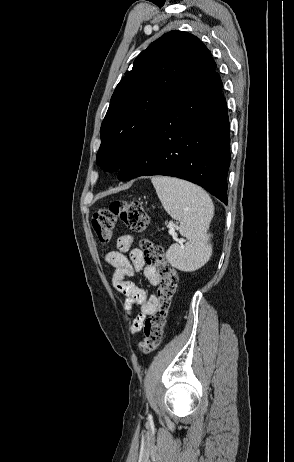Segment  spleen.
<instances>
[{
    "label": "spleen",
    "mask_w": 294,
    "mask_h": 462,
    "mask_svg": "<svg viewBox=\"0 0 294 462\" xmlns=\"http://www.w3.org/2000/svg\"><path fill=\"white\" fill-rule=\"evenodd\" d=\"M151 181L164 209L180 222L179 232L188 239L184 245L172 244L166 259L182 271L199 269L212 254L208 229L214 205L210 196L201 187L181 179L155 176Z\"/></svg>",
    "instance_id": "obj_1"
}]
</instances>
